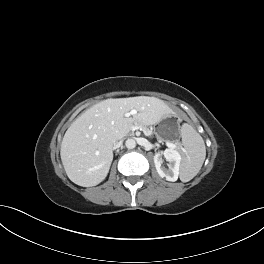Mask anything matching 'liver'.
<instances>
[{
	"mask_svg": "<svg viewBox=\"0 0 264 264\" xmlns=\"http://www.w3.org/2000/svg\"><path fill=\"white\" fill-rule=\"evenodd\" d=\"M136 110L133 118L126 114ZM172 110L155 97H130L101 101L80 117L66 131L60 156L68 178L83 187L101 183L113 160V144L127 136L133 124L159 123Z\"/></svg>",
	"mask_w": 264,
	"mask_h": 264,
	"instance_id": "1",
	"label": "liver"
}]
</instances>
